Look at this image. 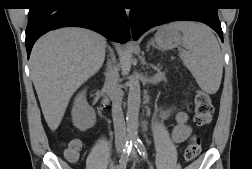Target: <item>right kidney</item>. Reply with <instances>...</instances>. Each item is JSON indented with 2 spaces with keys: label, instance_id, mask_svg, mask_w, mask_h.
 I'll return each instance as SVG.
<instances>
[{
  "label": "right kidney",
  "instance_id": "ca27d5eb",
  "mask_svg": "<svg viewBox=\"0 0 252 169\" xmlns=\"http://www.w3.org/2000/svg\"><path fill=\"white\" fill-rule=\"evenodd\" d=\"M71 114L73 124L82 131L91 128L95 124V111L87 103L85 90L76 96Z\"/></svg>",
  "mask_w": 252,
  "mask_h": 169
}]
</instances>
